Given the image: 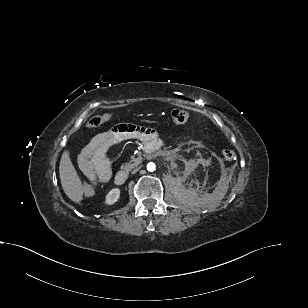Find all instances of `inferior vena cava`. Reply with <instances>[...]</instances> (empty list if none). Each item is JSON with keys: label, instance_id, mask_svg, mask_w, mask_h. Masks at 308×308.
<instances>
[{"label": "inferior vena cava", "instance_id": "inferior-vena-cava-1", "mask_svg": "<svg viewBox=\"0 0 308 308\" xmlns=\"http://www.w3.org/2000/svg\"><path fill=\"white\" fill-rule=\"evenodd\" d=\"M138 171V169H135L132 173L135 174Z\"/></svg>", "mask_w": 308, "mask_h": 308}]
</instances>
